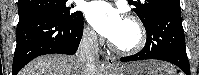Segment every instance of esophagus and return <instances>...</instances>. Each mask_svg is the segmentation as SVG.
Segmentation results:
<instances>
[{
	"instance_id": "34e87169",
	"label": "esophagus",
	"mask_w": 199,
	"mask_h": 75,
	"mask_svg": "<svg viewBox=\"0 0 199 75\" xmlns=\"http://www.w3.org/2000/svg\"><path fill=\"white\" fill-rule=\"evenodd\" d=\"M105 64L107 66H116L117 65L116 58L113 55H110V54L106 55Z\"/></svg>"
}]
</instances>
